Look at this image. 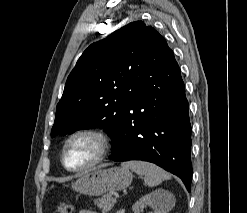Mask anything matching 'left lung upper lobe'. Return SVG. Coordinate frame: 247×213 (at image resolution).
I'll use <instances>...</instances> for the list:
<instances>
[{"label":"left lung upper lobe","mask_w":247,"mask_h":213,"mask_svg":"<svg viewBox=\"0 0 247 213\" xmlns=\"http://www.w3.org/2000/svg\"><path fill=\"white\" fill-rule=\"evenodd\" d=\"M170 51L165 39L142 21L91 44L68 76L51 137L99 127L114 140L130 99Z\"/></svg>","instance_id":"5c2ea615"}]
</instances>
